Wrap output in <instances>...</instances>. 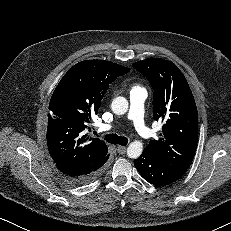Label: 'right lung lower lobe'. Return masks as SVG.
Here are the masks:
<instances>
[{
  "label": "right lung lower lobe",
  "instance_id": "98d812e1",
  "mask_svg": "<svg viewBox=\"0 0 231 231\" xmlns=\"http://www.w3.org/2000/svg\"><path fill=\"white\" fill-rule=\"evenodd\" d=\"M108 158L109 155L94 164L83 166L66 165L58 162H55V164L67 182L82 186L91 183L101 174Z\"/></svg>",
  "mask_w": 231,
  "mask_h": 231
}]
</instances>
